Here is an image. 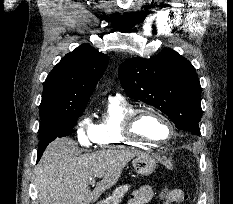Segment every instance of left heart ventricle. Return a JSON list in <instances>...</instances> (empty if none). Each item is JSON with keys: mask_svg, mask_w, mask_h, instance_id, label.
I'll list each match as a JSON object with an SVG mask.
<instances>
[{"mask_svg": "<svg viewBox=\"0 0 233 204\" xmlns=\"http://www.w3.org/2000/svg\"><path fill=\"white\" fill-rule=\"evenodd\" d=\"M136 132L152 140H164L168 137L169 130L162 119L151 113L139 115L136 126Z\"/></svg>", "mask_w": 233, "mask_h": 204, "instance_id": "1", "label": "left heart ventricle"}]
</instances>
